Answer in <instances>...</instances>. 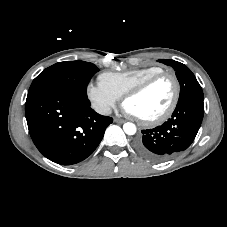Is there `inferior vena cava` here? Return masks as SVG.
<instances>
[{"instance_id": "1", "label": "inferior vena cava", "mask_w": 227, "mask_h": 227, "mask_svg": "<svg viewBox=\"0 0 227 227\" xmlns=\"http://www.w3.org/2000/svg\"><path fill=\"white\" fill-rule=\"evenodd\" d=\"M96 111L102 115H110L112 113V110L109 106H101L97 108Z\"/></svg>"}]
</instances>
